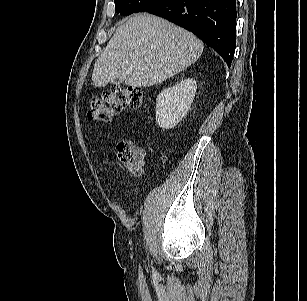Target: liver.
Instances as JSON below:
<instances>
[{"label": "liver", "mask_w": 307, "mask_h": 301, "mask_svg": "<svg viewBox=\"0 0 307 301\" xmlns=\"http://www.w3.org/2000/svg\"><path fill=\"white\" fill-rule=\"evenodd\" d=\"M203 48L191 32L160 17L137 14L116 29L94 65L92 81L96 87L114 79L132 87L153 86L194 63Z\"/></svg>", "instance_id": "obj_1"}]
</instances>
